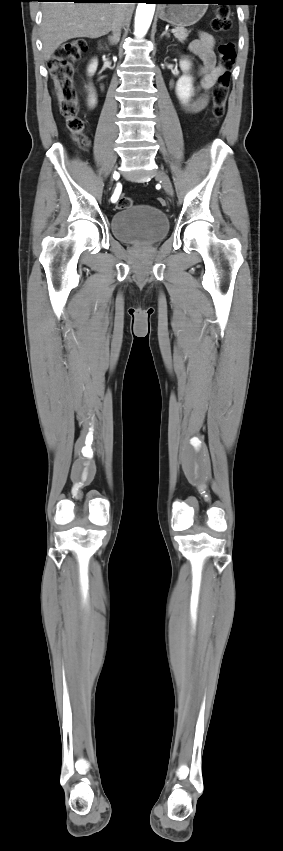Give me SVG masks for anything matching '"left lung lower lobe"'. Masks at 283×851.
Returning <instances> with one entry per match:
<instances>
[{
	"label": "left lung lower lobe",
	"instance_id": "0a47b994",
	"mask_svg": "<svg viewBox=\"0 0 283 851\" xmlns=\"http://www.w3.org/2000/svg\"><path fill=\"white\" fill-rule=\"evenodd\" d=\"M152 3H163L164 0H151ZM221 5H236L239 0H215Z\"/></svg>",
	"mask_w": 283,
	"mask_h": 851
}]
</instances>
